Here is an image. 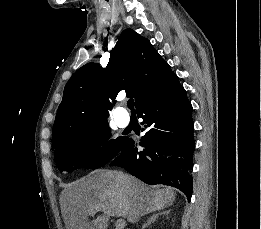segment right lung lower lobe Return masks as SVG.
Instances as JSON below:
<instances>
[{"mask_svg": "<svg viewBox=\"0 0 261 229\" xmlns=\"http://www.w3.org/2000/svg\"><path fill=\"white\" fill-rule=\"evenodd\" d=\"M192 110L178 77H173L137 109L147 129L139 143L143 151H138L134 141L127 139L110 165L123 167L147 184L175 187L190 201L195 150Z\"/></svg>", "mask_w": 261, "mask_h": 229, "instance_id": "right-lung-lower-lobe-1", "label": "right lung lower lobe"}]
</instances>
